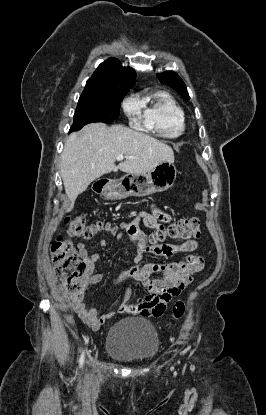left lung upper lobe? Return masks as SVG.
Returning a JSON list of instances; mask_svg holds the SVG:
<instances>
[{"instance_id": "left-lung-upper-lobe-1", "label": "left lung upper lobe", "mask_w": 266, "mask_h": 415, "mask_svg": "<svg viewBox=\"0 0 266 415\" xmlns=\"http://www.w3.org/2000/svg\"><path fill=\"white\" fill-rule=\"evenodd\" d=\"M158 79L161 83L166 84L176 90L184 100L190 99L187 88L183 80L172 71L157 74Z\"/></svg>"}]
</instances>
